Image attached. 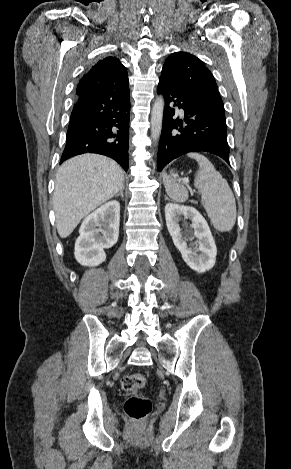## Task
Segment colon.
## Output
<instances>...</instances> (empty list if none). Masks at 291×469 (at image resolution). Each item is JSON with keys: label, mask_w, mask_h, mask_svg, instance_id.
Returning <instances> with one entry per match:
<instances>
[{"label": "colon", "mask_w": 291, "mask_h": 469, "mask_svg": "<svg viewBox=\"0 0 291 469\" xmlns=\"http://www.w3.org/2000/svg\"><path fill=\"white\" fill-rule=\"evenodd\" d=\"M146 385V377L142 373H132L122 379V388L130 394L124 409L133 420L144 419L151 411V402L148 398L138 394V391Z\"/></svg>", "instance_id": "colon-1"}]
</instances>
